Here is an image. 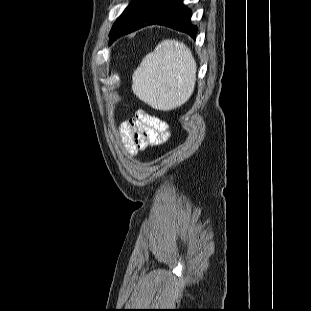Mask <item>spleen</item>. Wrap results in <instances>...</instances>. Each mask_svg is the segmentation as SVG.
<instances>
[{
	"label": "spleen",
	"instance_id": "spleen-1",
	"mask_svg": "<svg viewBox=\"0 0 311 311\" xmlns=\"http://www.w3.org/2000/svg\"><path fill=\"white\" fill-rule=\"evenodd\" d=\"M132 91L152 108L169 111L192 95L196 63L190 49L177 40H163L147 54L132 75Z\"/></svg>",
	"mask_w": 311,
	"mask_h": 311
}]
</instances>
